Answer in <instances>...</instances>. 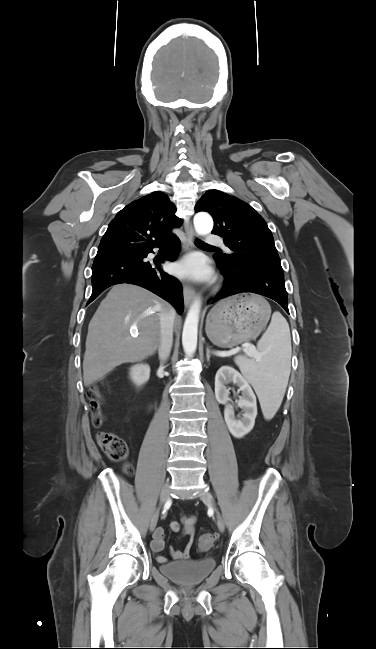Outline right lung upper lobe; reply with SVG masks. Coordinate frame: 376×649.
Listing matches in <instances>:
<instances>
[{
	"label": "right lung upper lobe",
	"instance_id": "1",
	"mask_svg": "<svg viewBox=\"0 0 376 649\" xmlns=\"http://www.w3.org/2000/svg\"><path fill=\"white\" fill-rule=\"evenodd\" d=\"M168 196L155 191L117 213L101 239L97 256L137 253L173 237L182 223Z\"/></svg>",
	"mask_w": 376,
	"mask_h": 649
}]
</instances>
